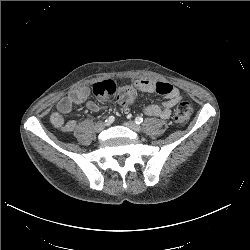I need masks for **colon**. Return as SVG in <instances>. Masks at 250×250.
<instances>
[{
    "label": "colon",
    "instance_id": "obj_1",
    "mask_svg": "<svg viewBox=\"0 0 250 250\" xmlns=\"http://www.w3.org/2000/svg\"><path fill=\"white\" fill-rule=\"evenodd\" d=\"M92 93L100 101H117L123 110L127 109L135 99V91L132 88H119L112 80L94 84ZM192 112V107L188 102H180L173 115L175 123L180 126L185 125L190 120Z\"/></svg>",
    "mask_w": 250,
    "mask_h": 250
}]
</instances>
